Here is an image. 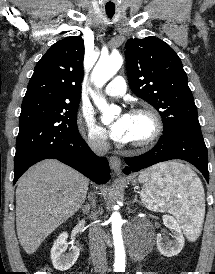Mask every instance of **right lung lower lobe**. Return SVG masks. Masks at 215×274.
Segmentation results:
<instances>
[{"label": "right lung lower lobe", "instance_id": "98d812e1", "mask_svg": "<svg viewBox=\"0 0 215 274\" xmlns=\"http://www.w3.org/2000/svg\"><path fill=\"white\" fill-rule=\"evenodd\" d=\"M47 158L57 159L71 166L98 184L105 183L110 178V168L106 158L96 156L80 134H77L44 146L15 166L14 184L30 166Z\"/></svg>", "mask_w": 215, "mask_h": 274}]
</instances>
